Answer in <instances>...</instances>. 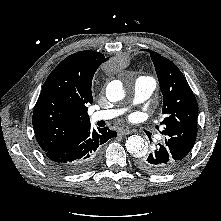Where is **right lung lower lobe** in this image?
Returning <instances> with one entry per match:
<instances>
[{
  "instance_id": "obj_1",
  "label": "right lung lower lobe",
  "mask_w": 221,
  "mask_h": 221,
  "mask_svg": "<svg viewBox=\"0 0 221 221\" xmlns=\"http://www.w3.org/2000/svg\"><path fill=\"white\" fill-rule=\"evenodd\" d=\"M116 136L117 133L108 127L91 130L88 126L45 153L56 169L64 173H82L97 164L102 144Z\"/></svg>"
}]
</instances>
